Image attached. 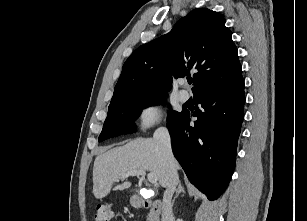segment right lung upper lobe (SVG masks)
<instances>
[{"instance_id": "cb5924a9", "label": "right lung upper lobe", "mask_w": 307, "mask_h": 221, "mask_svg": "<svg viewBox=\"0 0 307 221\" xmlns=\"http://www.w3.org/2000/svg\"><path fill=\"white\" fill-rule=\"evenodd\" d=\"M190 71H195L194 96L243 80L232 33L225 19L207 8L192 10L169 33L138 47L123 65L111 104L135 94L168 92L172 75Z\"/></svg>"}]
</instances>
